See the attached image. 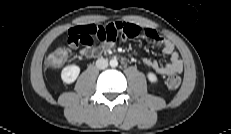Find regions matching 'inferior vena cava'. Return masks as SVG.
Instances as JSON below:
<instances>
[{"label":"inferior vena cava","instance_id":"inferior-vena-cava-1","mask_svg":"<svg viewBox=\"0 0 231 134\" xmlns=\"http://www.w3.org/2000/svg\"><path fill=\"white\" fill-rule=\"evenodd\" d=\"M108 66V61L107 59H104V58H99L97 61H96V67L98 69H105L107 68Z\"/></svg>","mask_w":231,"mask_h":134}]
</instances>
